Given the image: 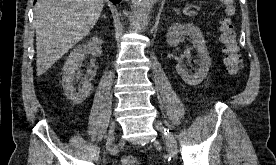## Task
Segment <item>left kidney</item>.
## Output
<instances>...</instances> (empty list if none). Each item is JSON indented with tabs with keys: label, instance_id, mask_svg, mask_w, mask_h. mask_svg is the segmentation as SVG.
I'll return each instance as SVG.
<instances>
[{
	"label": "left kidney",
	"instance_id": "obj_1",
	"mask_svg": "<svg viewBox=\"0 0 276 165\" xmlns=\"http://www.w3.org/2000/svg\"><path fill=\"white\" fill-rule=\"evenodd\" d=\"M189 36L192 43L196 45L198 50L199 68L192 73L186 69L183 65L177 64L176 71L183 79V81L189 85L200 84L206 77L211 67V58L209 56L205 39L201 30L193 24H181L174 23L167 33V43L172 47L179 45L183 36Z\"/></svg>",
	"mask_w": 276,
	"mask_h": 165
}]
</instances>
